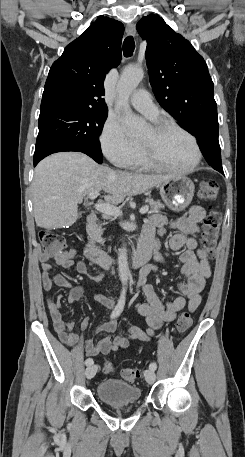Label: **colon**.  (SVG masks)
<instances>
[{
	"label": "colon",
	"mask_w": 245,
	"mask_h": 457,
	"mask_svg": "<svg viewBox=\"0 0 245 457\" xmlns=\"http://www.w3.org/2000/svg\"><path fill=\"white\" fill-rule=\"evenodd\" d=\"M218 190V183L215 180L205 181L200 184L199 195L208 202H214L218 198ZM221 223L222 216L220 212L215 207H212L203 221L201 248L203 255L211 256L213 254L218 242ZM39 240L46 256L54 257L65 249L63 237L55 232L41 230L39 232ZM192 323L193 319L189 312H183L177 319L176 328L179 332H185L191 327ZM105 371H112L111 363L106 362ZM139 374L138 369L131 367L123 368L120 371L121 377L126 381H134L139 377Z\"/></svg>",
	"instance_id": "colon-1"
}]
</instances>
